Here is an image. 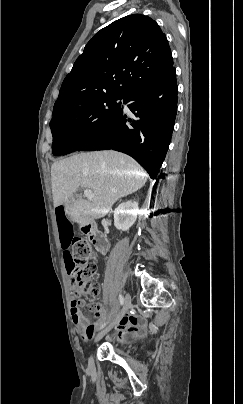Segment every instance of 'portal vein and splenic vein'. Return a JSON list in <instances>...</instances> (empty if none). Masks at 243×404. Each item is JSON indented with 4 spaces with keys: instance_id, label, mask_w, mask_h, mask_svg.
Returning a JSON list of instances; mask_svg holds the SVG:
<instances>
[{
    "instance_id": "1",
    "label": "portal vein and splenic vein",
    "mask_w": 243,
    "mask_h": 404,
    "mask_svg": "<svg viewBox=\"0 0 243 404\" xmlns=\"http://www.w3.org/2000/svg\"><path fill=\"white\" fill-rule=\"evenodd\" d=\"M84 196L85 198H88V200H92V198H94V194L91 192V190H84Z\"/></svg>"
}]
</instances>
